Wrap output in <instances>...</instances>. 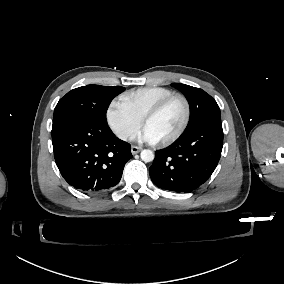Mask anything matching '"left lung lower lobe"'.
I'll return each instance as SVG.
<instances>
[{
	"label": "left lung lower lobe",
	"instance_id": "obj_1",
	"mask_svg": "<svg viewBox=\"0 0 284 284\" xmlns=\"http://www.w3.org/2000/svg\"><path fill=\"white\" fill-rule=\"evenodd\" d=\"M222 146L221 121H206L187 128L175 143L156 151L149 168L151 180L164 190L192 192L215 170Z\"/></svg>",
	"mask_w": 284,
	"mask_h": 284
}]
</instances>
